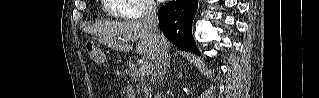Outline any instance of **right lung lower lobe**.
<instances>
[{
	"instance_id": "98d812e1",
	"label": "right lung lower lobe",
	"mask_w": 319,
	"mask_h": 98,
	"mask_svg": "<svg viewBox=\"0 0 319 98\" xmlns=\"http://www.w3.org/2000/svg\"><path fill=\"white\" fill-rule=\"evenodd\" d=\"M198 0H176L158 10L159 28L178 49L199 54L191 27Z\"/></svg>"
}]
</instances>
